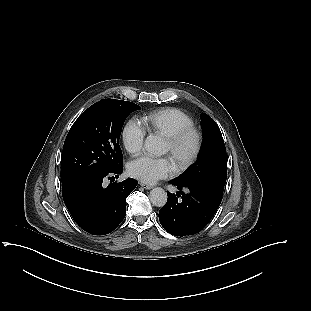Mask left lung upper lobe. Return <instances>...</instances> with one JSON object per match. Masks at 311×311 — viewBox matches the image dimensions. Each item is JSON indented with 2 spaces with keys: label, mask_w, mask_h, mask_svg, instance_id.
<instances>
[{
  "label": "left lung upper lobe",
  "mask_w": 311,
  "mask_h": 311,
  "mask_svg": "<svg viewBox=\"0 0 311 311\" xmlns=\"http://www.w3.org/2000/svg\"><path fill=\"white\" fill-rule=\"evenodd\" d=\"M203 141L195 163L176 180L182 184L206 186L223 194L227 176L226 148L216 122L207 114H201Z\"/></svg>",
  "instance_id": "left-lung-upper-lobe-1"
}]
</instances>
